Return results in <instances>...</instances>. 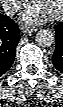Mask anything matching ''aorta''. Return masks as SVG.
I'll return each mask as SVG.
<instances>
[{"instance_id": "obj_1", "label": "aorta", "mask_w": 63, "mask_h": 107, "mask_svg": "<svg viewBox=\"0 0 63 107\" xmlns=\"http://www.w3.org/2000/svg\"><path fill=\"white\" fill-rule=\"evenodd\" d=\"M36 42L41 47H50L55 42V34L50 29H41L36 34Z\"/></svg>"}]
</instances>
